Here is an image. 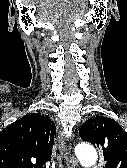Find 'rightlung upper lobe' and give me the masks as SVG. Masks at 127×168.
<instances>
[{"mask_svg":"<svg viewBox=\"0 0 127 168\" xmlns=\"http://www.w3.org/2000/svg\"><path fill=\"white\" fill-rule=\"evenodd\" d=\"M55 135L50 119L37 113L23 116L0 133V168H46Z\"/></svg>","mask_w":127,"mask_h":168,"instance_id":"1","label":"right lung upper lobe"}]
</instances>
